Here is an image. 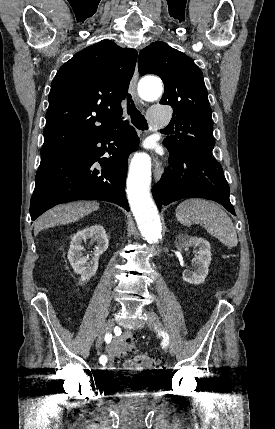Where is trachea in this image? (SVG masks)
<instances>
[{
    "mask_svg": "<svg viewBox=\"0 0 275 429\" xmlns=\"http://www.w3.org/2000/svg\"><path fill=\"white\" fill-rule=\"evenodd\" d=\"M127 108H128V114L131 117V121L133 125L140 130L148 129L147 121L145 117L141 114V112L135 107L134 102L131 100V95H128V98H127ZM167 130H168L167 128L164 129V131H167Z\"/></svg>",
    "mask_w": 275,
    "mask_h": 429,
    "instance_id": "3493384b",
    "label": "trachea"
}]
</instances>
